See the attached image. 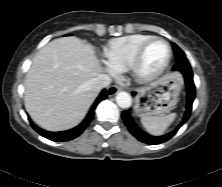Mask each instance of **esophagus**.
Masks as SVG:
<instances>
[{"mask_svg": "<svg viewBox=\"0 0 222 187\" xmlns=\"http://www.w3.org/2000/svg\"><path fill=\"white\" fill-rule=\"evenodd\" d=\"M120 90H121V88L119 86L114 85V86H111L110 88H108L107 94H108V96H113L117 92H119Z\"/></svg>", "mask_w": 222, "mask_h": 187, "instance_id": "34e87169", "label": "esophagus"}]
</instances>
